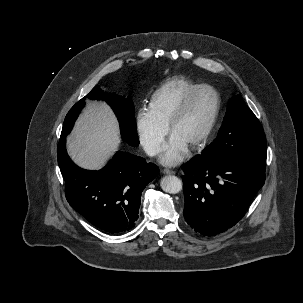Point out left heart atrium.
Returning <instances> with one entry per match:
<instances>
[{"mask_svg": "<svg viewBox=\"0 0 303 303\" xmlns=\"http://www.w3.org/2000/svg\"><path fill=\"white\" fill-rule=\"evenodd\" d=\"M188 144L176 134L172 133L161 155V162L167 166L179 164L188 152Z\"/></svg>", "mask_w": 303, "mask_h": 303, "instance_id": "left-heart-atrium-1", "label": "left heart atrium"}]
</instances>
